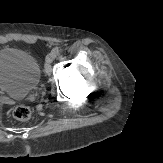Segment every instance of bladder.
I'll use <instances>...</instances> for the list:
<instances>
[{"label": "bladder", "instance_id": "obj_1", "mask_svg": "<svg viewBox=\"0 0 163 163\" xmlns=\"http://www.w3.org/2000/svg\"><path fill=\"white\" fill-rule=\"evenodd\" d=\"M40 66L35 57L16 48L0 50V91L20 99L30 93L40 80Z\"/></svg>", "mask_w": 163, "mask_h": 163}]
</instances>
